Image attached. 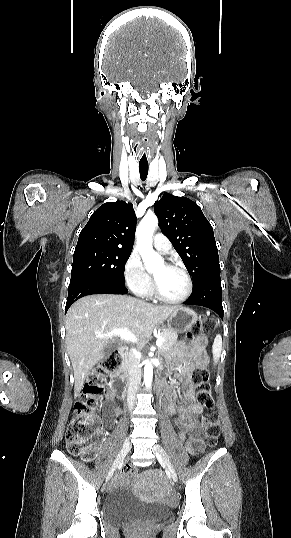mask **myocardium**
<instances>
[{
	"label": "myocardium",
	"mask_w": 291,
	"mask_h": 538,
	"mask_svg": "<svg viewBox=\"0 0 291 538\" xmlns=\"http://www.w3.org/2000/svg\"><path fill=\"white\" fill-rule=\"evenodd\" d=\"M165 266L168 267V268H171V269L179 270L184 275V277L186 279V284H187L186 291L182 296H180L178 298H168V297L164 296L161 293V291H160V289H159V287H158V285H157V283H156V281H155V279L153 277V280H152V292H153L154 296L157 299H159V300H161L163 302H166V303H170V304H179V303H182V302L186 301L190 297V295L192 294V291H193V282H192V279H191V276H190L189 272L187 271V269L183 265H181L180 263H177V262H166Z\"/></svg>",
	"instance_id": "obj_1"
}]
</instances>
